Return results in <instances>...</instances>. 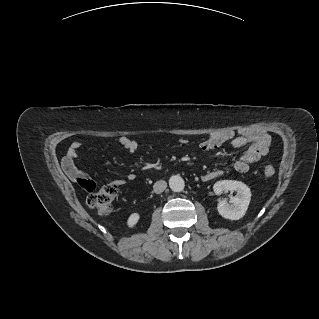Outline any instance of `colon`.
Returning a JSON list of instances; mask_svg holds the SVG:
<instances>
[{
	"label": "colon",
	"instance_id": "colon-1",
	"mask_svg": "<svg viewBox=\"0 0 319 319\" xmlns=\"http://www.w3.org/2000/svg\"><path fill=\"white\" fill-rule=\"evenodd\" d=\"M275 174V168L271 165L264 167V175L272 177ZM81 187L89 192L87 205L100 215H107L112 210V205L117 197V189L112 185H104L97 189L94 181L89 179L78 180Z\"/></svg>",
	"mask_w": 319,
	"mask_h": 319
}]
</instances>
